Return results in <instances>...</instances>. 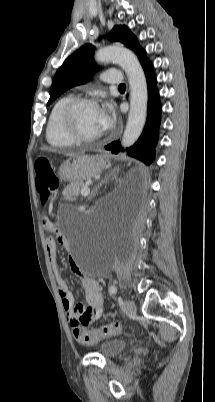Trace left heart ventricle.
Returning <instances> with one entry per match:
<instances>
[{
  "label": "left heart ventricle",
  "instance_id": "b2bd125f",
  "mask_svg": "<svg viewBox=\"0 0 215 402\" xmlns=\"http://www.w3.org/2000/svg\"><path fill=\"white\" fill-rule=\"evenodd\" d=\"M76 122L79 131L87 136L96 135L102 132L99 123V107L84 105L79 108L76 115Z\"/></svg>",
  "mask_w": 215,
  "mask_h": 402
}]
</instances>
